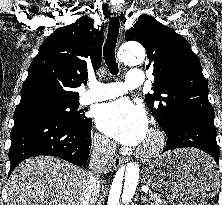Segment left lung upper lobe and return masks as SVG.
<instances>
[{
    "mask_svg": "<svg viewBox=\"0 0 222 205\" xmlns=\"http://www.w3.org/2000/svg\"><path fill=\"white\" fill-rule=\"evenodd\" d=\"M125 39L140 42L147 51V69L153 68L155 79L154 93H148L145 101L165 133L189 113L214 117L200 61L184 37L144 14Z\"/></svg>",
    "mask_w": 222,
    "mask_h": 205,
    "instance_id": "5c2ea615",
    "label": "left lung upper lobe"
}]
</instances>
